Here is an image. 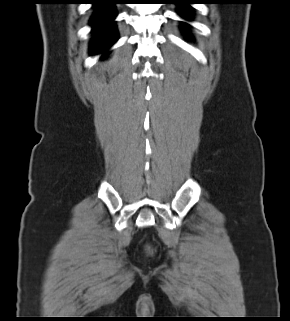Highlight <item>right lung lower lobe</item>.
<instances>
[{"label":"right lung lower lobe","mask_w":290,"mask_h":321,"mask_svg":"<svg viewBox=\"0 0 290 321\" xmlns=\"http://www.w3.org/2000/svg\"><path fill=\"white\" fill-rule=\"evenodd\" d=\"M117 0H93L95 13L91 25L95 34L91 53L98 54L110 48L118 39L114 19L116 17L114 4Z\"/></svg>","instance_id":"98d812e1"}]
</instances>
